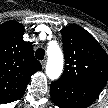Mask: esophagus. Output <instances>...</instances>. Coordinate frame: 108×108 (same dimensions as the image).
Here are the masks:
<instances>
[{"label": "esophagus", "instance_id": "esophagus-1", "mask_svg": "<svg viewBox=\"0 0 108 108\" xmlns=\"http://www.w3.org/2000/svg\"><path fill=\"white\" fill-rule=\"evenodd\" d=\"M46 64H47V61L46 60H42L41 61V65H42L43 68H45Z\"/></svg>", "mask_w": 108, "mask_h": 108}]
</instances>
